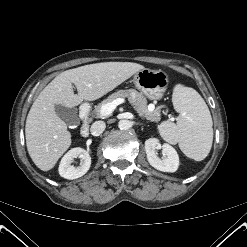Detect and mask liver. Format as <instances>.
<instances>
[{
	"mask_svg": "<svg viewBox=\"0 0 247 247\" xmlns=\"http://www.w3.org/2000/svg\"><path fill=\"white\" fill-rule=\"evenodd\" d=\"M144 66L131 62H104L66 70L56 76L34 101L25 125L28 153L42 171L52 169L71 145V133L56 114L55 105L73 108L101 98ZM78 94H74L73 86Z\"/></svg>",
	"mask_w": 247,
	"mask_h": 247,
	"instance_id": "obj_1",
	"label": "liver"
}]
</instances>
